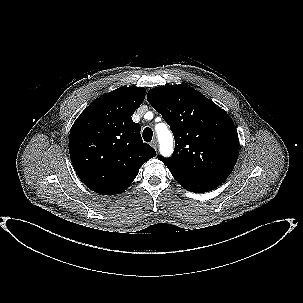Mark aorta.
<instances>
[{"mask_svg":"<svg viewBox=\"0 0 303 303\" xmlns=\"http://www.w3.org/2000/svg\"><path fill=\"white\" fill-rule=\"evenodd\" d=\"M156 132L160 143V153L165 157H169L173 153L172 133L167 129L166 125H158Z\"/></svg>","mask_w":303,"mask_h":303,"instance_id":"762f6f07","label":"aorta"}]
</instances>
